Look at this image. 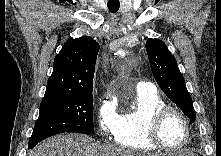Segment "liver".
I'll return each instance as SVG.
<instances>
[{
	"label": "liver",
	"mask_w": 221,
	"mask_h": 156,
	"mask_svg": "<svg viewBox=\"0 0 221 156\" xmlns=\"http://www.w3.org/2000/svg\"><path fill=\"white\" fill-rule=\"evenodd\" d=\"M29 156H151L136 151L101 145L92 142L88 137L77 133H66L53 136L39 143Z\"/></svg>",
	"instance_id": "obj_1"
}]
</instances>
